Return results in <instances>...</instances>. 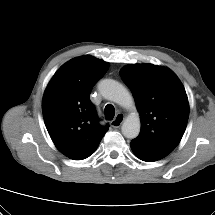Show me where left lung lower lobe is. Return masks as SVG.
<instances>
[{
    "label": "left lung lower lobe",
    "instance_id": "obj_1",
    "mask_svg": "<svg viewBox=\"0 0 215 215\" xmlns=\"http://www.w3.org/2000/svg\"><path fill=\"white\" fill-rule=\"evenodd\" d=\"M131 148L134 152V154L141 160L147 161V162H152V161H157L162 159V157H159L157 155L151 154L149 152L144 151L141 148H138L136 146L131 145Z\"/></svg>",
    "mask_w": 215,
    "mask_h": 215
}]
</instances>
